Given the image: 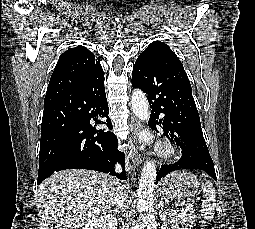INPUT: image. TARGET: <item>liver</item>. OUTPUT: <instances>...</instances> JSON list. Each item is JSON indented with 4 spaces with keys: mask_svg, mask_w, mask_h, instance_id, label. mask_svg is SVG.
Here are the masks:
<instances>
[{
    "mask_svg": "<svg viewBox=\"0 0 255 229\" xmlns=\"http://www.w3.org/2000/svg\"><path fill=\"white\" fill-rule=\"evenodd\" d=\"M120 186L108 174L71 169L47 178L38 192L49 223L56 229H78L112 208Z\"/></svg>",
    "mask_w": 255,
    "mask_h": 229,
    "instance_id": "6515ba94",
    "label": "liver"
}]
</instances>
